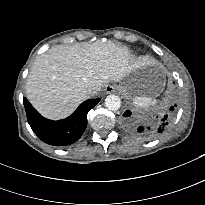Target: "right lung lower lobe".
Here are the masks:
<instances>
[{
	"label": "right lung lower lobe",
	"instance_id": "98d812e1",
	"mask_svg": "<svg viewBox=\"0 0 205 205\" xmlns=\"http://www.w3.org/2000/svg\"><path fill=\"white\" fill-rule=\"evenodd\" d=\"M99 101V98L86 100L71 116L63 120L52 121L42 117L29 101L23 98L27 119L32 130L42 141L54 146H65L77 141L86 129L87 113Z\"/></svg>",
	"mask_w": 205,
	"mask_h": 205
}]
</instances>
